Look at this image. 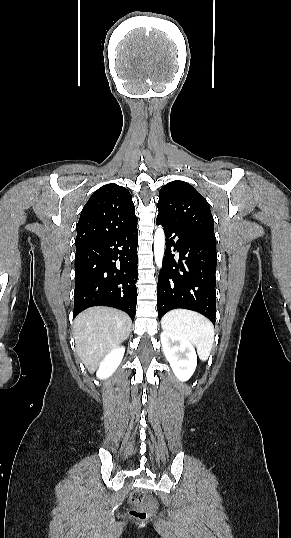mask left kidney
<instances>
[{"label": "left kidney", "mask_w": 291, "mask_h": 538, "mask_svg": "<svg viewBox=\"0 0 291 538\" xmlns=\"http://www.w3.org/2000/svg\"><path fill=\"white\" fill-rule=\"evenodd\" d=\"M162 349L171 369L180 381H187L197 366L196 351L185 337L163 331L160 335Z\"/></svg>", "instance_id": "obj_1"}]
</instances>
